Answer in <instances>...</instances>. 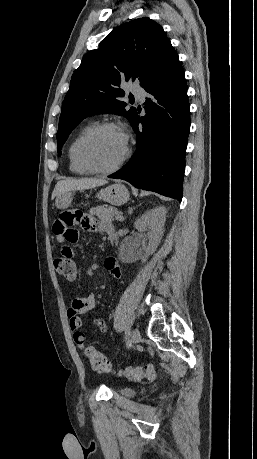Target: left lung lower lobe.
<instances>
[{
    "instance_id": "1",
    "label": "left lung lower lobe",
    "mask_w": 257,
    "mask_h": 459,
    "mask_svg": "<svg viewBox=\"0 0 257 459\" xmlns=\"http://www.w3.org/2000/svg\"><path fill=\"white\" fill-rule=\"evenodd\" d=\"M143 88L149 93L146 115L136 114L131 122L136 152L109 178L181 201L190 112L184 70L174 49Z\"/></svg>"
}]
</instances>
